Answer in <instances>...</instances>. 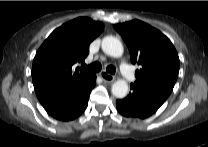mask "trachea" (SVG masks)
<instances>
[{"label": "trachea", "mask_w": 208, "mask_h": 147, "mask_svg": "<svg viewBox=\"0 0 208 147\" xmlns=\"http://www.w3.org/2000/svg\"><path fill=\"white\" fill-rule=\"evenodd\" d=\"M84 67L91 72H99L102 69L100 62H94L91 65H84ZM106 71L110 74H115L116 68L112 65L107 66Z\"/></svg>", "instance_id": "obj_1"}]
</instances>
